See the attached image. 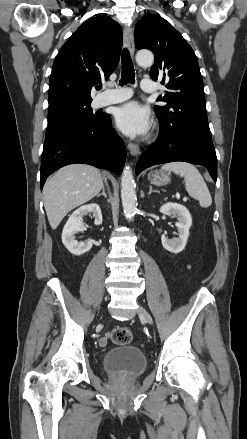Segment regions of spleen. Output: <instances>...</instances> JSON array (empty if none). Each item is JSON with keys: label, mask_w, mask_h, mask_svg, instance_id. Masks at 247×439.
Wrapping results in <instances>:
<instances>
[{"label": "spleen", "mask_w": 247, "mask_h": 439, "mask_svg": "<svg viewBox=\"0 0 247 439\" xmlns=\"http://www.w3.org/2000/svg\"><path fill=\"white\" fill-rule=\"evenodd\" d=\"M162 170L174 172L184 177L185 187L188 194L199 201L203 208H207L212 204V198L208 187L196 167L186 162H170L161 167Z\"/></svg>", "instance_id": "1"}]
</instances>
